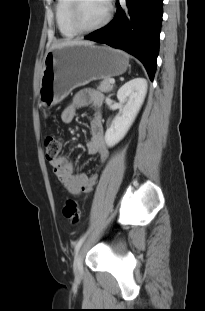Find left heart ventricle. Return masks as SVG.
<instances>
[{"instance_id": "1", "label": "left heart ventricle", "mask_w": 205, "mask_h": 311, "mask_svg": "<svg viewBox=\"0 0 205 311\" xmlns=\"http://www.w3.org/2000/svg\"><path fill=\"white\" fill-rule=\"evenodd\" d=\"M107 13L105 0H83L79 9L80 20L85 27L100 23Z\"/></svg>"}]
</instances>
